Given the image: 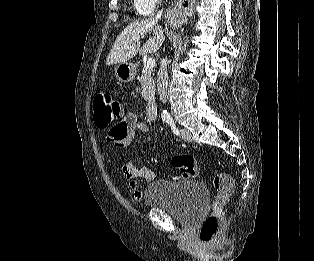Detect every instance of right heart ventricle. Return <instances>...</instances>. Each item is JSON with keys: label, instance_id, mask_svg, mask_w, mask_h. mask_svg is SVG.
Masks as SVG:
<instances>
[{"label": "right heart ventricle", "instance_id": "1", "mask_svg": "<svg viewBox=\"0 0 314 261\" xmlns=\"http://www.w3.org/2000/svg\"><path fill=\"white\" fill-rule=\"evenodd\" d=\"M132 6L140 16L150 15L154 10L148 0H132Z\"/></svg>", "mask_w": 314, "mask_h": 261}]
</instances>
